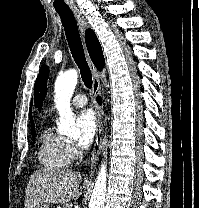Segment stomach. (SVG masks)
I'll list each match as a JSON object with an SVG mask.
<instances>
[{"instance_id": "0dacf381", "label": "stomach", "mask_w": 199, "mask_h": 208, "mask_svg": "<svg viewBox=\"0 0 199 208\" xmlns=\"http://www.w3.org/2000/svg\"><path fill=\"white\" fill-rule=\"evenodd\" d=\"M35 208H49V205L46 203H40Z\"/></svg>"}]
</instances>
